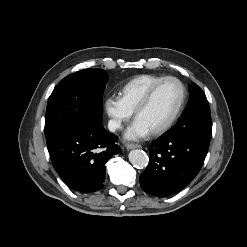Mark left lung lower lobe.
I'll return each mask as SVG.
<instances>
[{"instance_id": "obj_1", "label": "left lung lower lobe", "mask_w": 247, "mask_h": 247, "mask_svg": "<svg viewBox=\"0 0 247 247\" xmlns=\"http://www.w3.org/2000/svg\"><path fill=\"white\" fill-rule=\"evenodd\" d=\"M210 139L166 132L151 143L150 161L140 176L142 189L157 197L185 187L200 171Z\"/></svg>"}]
</instances>
